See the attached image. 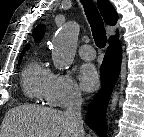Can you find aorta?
Returning a JSON list of instances; mask_svg holds the SVG:
<instances>
[{
  "label": "aorta",
  "instance_id": "762f6f07",
  "mask_svg": "<svg viewBox=\"0 0 144 137\" xmlns=\"http://www.w3.org/2000/svg\"><path fill=\"white\" fill-rule=\"evenodd\" d=\"M79 25L75 22H67L53 40L52 60L59 69H67L74 60L77 41L79 37ZM119 94H112L109 109L115 111Z\"/></svg>",
  "mask_w": 144,
  "mask_h": 137
}]
</instances>
